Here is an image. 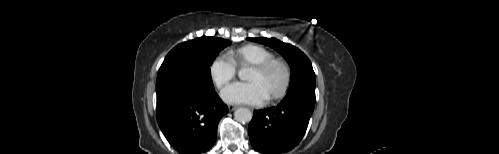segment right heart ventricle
Wrapping results in <instances>:
<instances>
[{
    "mask_svg": "<svg viewBox=\"0 0 499 154\" xmlns=\"http://www.w3.org/2000/svg\"><path fill=\"white\" fill-rule=\"evenodd\" d=\"M226 56L236 66H253L274 57V53L262 45L247 44L230 50Z\"/></svg>",
    "mask_w": 499,
    "mask_h": 154,
    "instance_id": "right-heart-ventricle-1",
    "label": "right heart ventricle"
}]
</instances>
